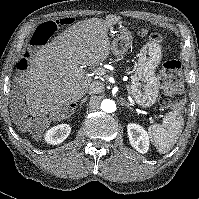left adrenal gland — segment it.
Instances as JSON below:
<instances>
[{"mask_svg": "<svg viewBox=\"0 0 199 199\" xmlns=\"http://www.w3.org/2000/svg\"><path fill=\"white\" fill-rule=\"evenodd\" d=\"M122 100H123V99H122ZM121 105H122V106H126L127 108H129L130 110L133 111V109H132V107L130 106V104H129L128 102H126L125 100L122 101Z\"/></svg>", "mask_w": 199, "mask_h": 199, "instance_id": "obj_1", "label": "left adrenal gland"}]
</instances>
